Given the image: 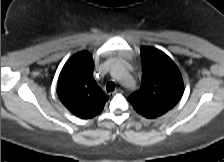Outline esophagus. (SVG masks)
<instances>
[{"label":"esophagus","instance_id":"34e87169","mask_svg":"<svg viewBox=\"0 0 224 162\" xmlns=\"http://www.w3.org/2000/svg\"><path fill=\"white\" fill-rule=\"evenodd\" d=\"M118 93H123V90H122V89H117V90L111 92V93H110V96H114V95H116V94H118Z\"/></svg>","mask_w":224,"mask_h":162}]
</instances>
